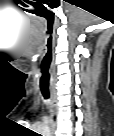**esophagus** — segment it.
<instances>
[{
  "mask_svg": "<svg viewBox=\"0 0 114 136\" xmlns=\"http://www.w3.org/2000/svg\"><path fill=\"white\" fill-rule=\"evenodd\" d=\"M49 113H50V127L51 133L53 134L57 127V104H56V94L54 89H50V105H49Z\"/></svg>",
  "mask_w": 114,
  "mask_h": 136,
  "instance_id": "34e87169",
  "label": "esophagus"
}]
</instances>
